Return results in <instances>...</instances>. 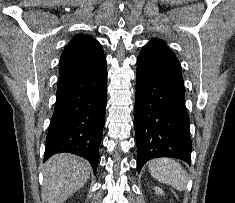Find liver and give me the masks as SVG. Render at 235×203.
Returning <instances> with one entry per match:
<instances>
[{"label": "liver", "mask_w": 235, "mask_h": 203, "mask_svg": "<svg viewBox=\"0 0 235 203\" xmlns=\"http://www.w3.org/2000/svg\"><path fill=\"white\" fill-rule=\"evenodd\" d=\"M91 173L89 162L69 153L56 154L44 165V195L49 203H62L77 192Z\"/></svg>", "instance_id": "1"}]
</instances>
